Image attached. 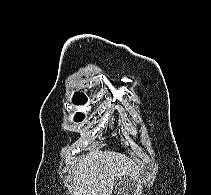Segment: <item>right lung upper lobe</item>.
<instances>
[{
	"label": "right lung upper lobe",
	"mask_w": 211,
	"mask_h": 195,
	"mask_svg": "<svg viewBox=\"0 0 211 195\" xmlns=\"http://www.w3.org/2000/svg\"><path fill=\"white\" fill-rule=\"evenodd\" d=\"M86 101L87 97L81 92H76L73 96V102L75 104H84Z\"/></svg>",
	"instance_id": "obj_1"
}]
</instances>
